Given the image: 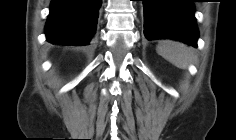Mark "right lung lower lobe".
Returning <instances> with one entry per match:
<instances>
[{"instance_id": "1", "label": "right lung lower lobe", "mask_w": 236, "mask_h": 140, "mask_svg": "<svg viewBox=\"0 0 236 140\" xmlns=\"http://www.w3.org/2000/svg\"><path fill=\"white\" fill-rule=\"evenodd\" d=\"M101 0H52L46 22L48 42L87 45L93 37Z\"/></svg>"}]
</instances>
